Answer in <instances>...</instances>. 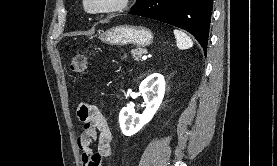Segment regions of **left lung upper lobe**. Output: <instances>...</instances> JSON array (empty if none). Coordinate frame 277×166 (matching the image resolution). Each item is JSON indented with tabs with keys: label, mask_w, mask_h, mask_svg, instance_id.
Listing matches in <instances>:
<instances>
[{
	"label": "left lung upper lobe",
	"mask_w": 277,
	"mask_h": 166,
	"mask_svg": "<svg viewBox=\"0 0 277 166\" xmlns=\"http://www.w3.org/2000/svg\"><path fill=\"white\" fill-rule=\"evenodd\" d=\"M145 1H146V0H137L136 4L132 7V9L135 8V7L140 6V5L143 4Z\"/></svg>",
	"instance_id": "left-lung-upper-lobe-1"
}]
</instances>
